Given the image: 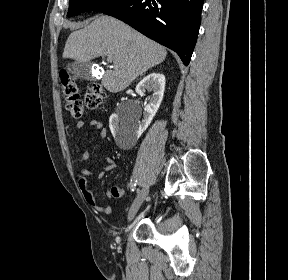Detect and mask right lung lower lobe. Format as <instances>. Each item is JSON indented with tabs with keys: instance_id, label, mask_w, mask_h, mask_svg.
<instances>
[{
	"instance_id": "obj_1",
	"label": "right lung lower lobe",
	"mask_w": 288,
	"mask_h": 280,
	"mask_svg": "<svg viewBox=\"0 0 288 280\" xmlns=\"http://www.w3.org/2000/svg\"><path fill=\"white\" fill-rule=\"evenodd\" d=\"M202 7L203 0H123L102 12L172 49L187 66L196 44Z\"/></svg>"
}]
</instances>
